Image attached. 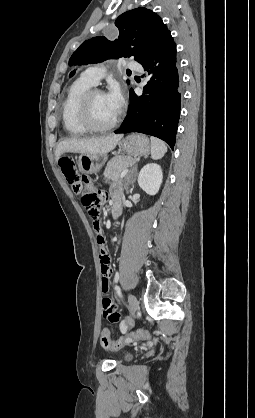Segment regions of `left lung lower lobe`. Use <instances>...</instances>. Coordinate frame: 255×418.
Returning a JSON list of instances; mask_svg holds the SVG:
<instances>
[{"label": "left lung lower lobe", "mask_w": 255, "mask_h": 418, "mask_svg": "<svg viewBox=\"0 0 255 418\" xmlns=\"http://www.w3.org/2000/svg\"><path fill=\"white\" fill-rule=\"evenodd\" d=\"M141 65L152 76L143 95L137 96L130 89L129 112L115 133L149 134L164 140L173 149L181 105V75L173 38Z\"/></svg>", "instance_id": "1"}]
</instances>
